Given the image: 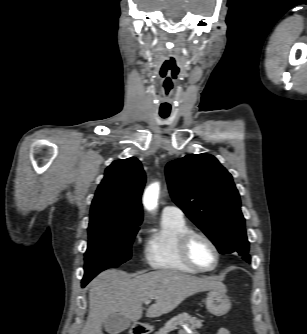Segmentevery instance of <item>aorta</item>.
<instances>
[{
	"mask_svg": "<svg viewBox=\"0 0 307 334\" xmlns=\"http://www.w3.org/2000/svg\"><path fill=\"white\" fill-rule=\"evenodd\" d=\"M159 191V183H153L146 188L143 195V204L147 210L152 211L157 207Z\"/></svg>",
	"mask_w": 307,
	"mask_h": 334,
	"instance_id": "aorta-1",
	"label": "aorta"
}]
</instances>
